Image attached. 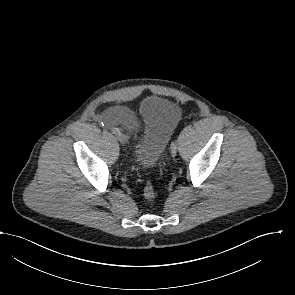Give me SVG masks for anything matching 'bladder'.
Listing matches in <instances>:
<instances>
[{"instance_id":"1","label":"bladder","mask_w":295,"mask_h":295,"mask_svg":"<svg viewBox=\"0 0 295 295\" xmlns=\"http://www.w3.org/2000/svg\"><path fill=\"white\" fill-rule=\"evenodd\" d=\"M181 112L173 101L151 96L139 108L134 143L136 161L145 168L154 167L162 156Z\"/></svg>"}]
</instances>
